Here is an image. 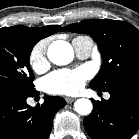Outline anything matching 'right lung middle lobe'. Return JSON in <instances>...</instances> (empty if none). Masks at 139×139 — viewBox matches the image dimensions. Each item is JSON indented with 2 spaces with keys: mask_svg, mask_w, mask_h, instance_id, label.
I'll use <instances>...</instances> for the list:
<instances>
[{
  "mask_svg": "<svg viewBox=\"0 0 139 139\" xmlns=\"http://www.w3.org/2000/svg\"><path fill=\"white\" fill-rule=\"evenodd\" d=\"M38 41L31 35L0 30V89L35 92L29 56Z\"/></svg>",
  "mask_w": 139,
  "mask_h": 139,
  "instance_id": "right-lung-middle-lobe-1",
  "label": "right lung middle lobe"
}]
</instances>
